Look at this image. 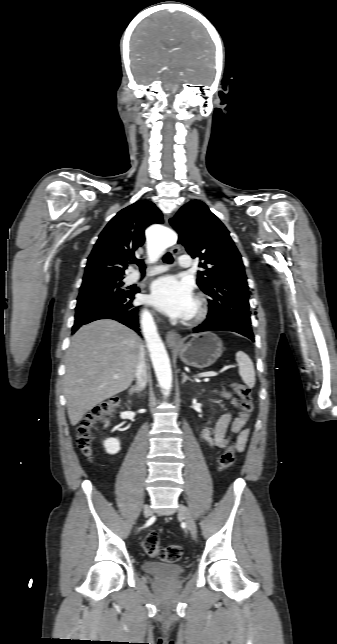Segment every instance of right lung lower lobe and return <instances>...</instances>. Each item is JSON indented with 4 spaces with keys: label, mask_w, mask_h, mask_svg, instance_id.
Here are the masks:
<instances>
[{
    "label": "right lung lower lobe",
    "mask_w": 337,
    "mask_h": 644,
    "mask_svg": "<svg viewBox=\"0 0 337 644\" xmlns=\"http://www.w3.org/2000/svg\"><path fill=\"white\" fill-rule=\"evenodd\" d=\"M126 298L112 303L99 304L76 310L73 333L82 325L99 319H114L139 332V309L133 305L134 295L139 292L133 289Z\"/></svg>",
    "instance_id": "1"
}]
</instances>
